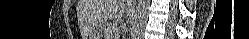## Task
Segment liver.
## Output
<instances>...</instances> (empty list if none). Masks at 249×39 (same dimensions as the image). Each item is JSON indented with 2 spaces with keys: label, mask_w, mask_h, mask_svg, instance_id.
Instances as JSON below:
<instances>
[{
  "label": "liver",
  "mask_w": 249,
  "mask_h": 39,
  "mask_svg": "<svg viewBox=\"0 0 249 39\" xmlns=\"http://www.w3.org/2000/svg\"><path fill=\"white\" fill-rule=\"evenodd\" d=\"M124 2L125 0H80L79 15L84 37H87L95 26L122 17L125 10Z\"/></svg>",
  "instance_id": "liver-1"
}]
</instances>
